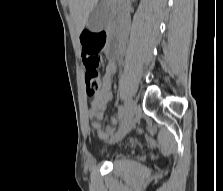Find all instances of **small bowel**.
Segmentation results:
<instances>
[{"label": "small bowel", "instance_id": "obj_1", "mask_svg": "<svg viewBox=\"0 0 223 191\" xmlns=\"http://www.w3.org/2000/svg\"><path fill=\"white\" fill-rule=\"evenodd\" d=\"M116 72V65L113 62H109L106 66L105 75L101 89L92 96L90 101V108L88 110V117L91 120V127L97 132L100 139H109L115 132L117 126H121L123 123V115L119 113L118 117L110 119L112 124L107 129L102 128L101 120L103 118V112L112 100V77Z\"/></svg>", "mask_w": 223, "mask_h": 191}]
</instances>
